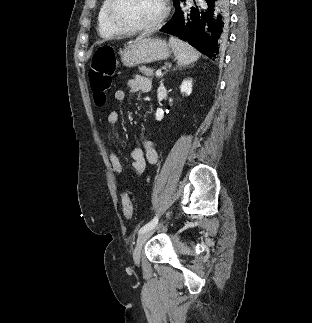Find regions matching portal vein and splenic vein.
<instances>
[{
    "label": "portal vein and splenic vein",
    "mask_w": 312,
    "mask_h": 323,
    "mask_svg": "<svg viewBox=\"0 0 312 323\" xmlns=\"http://www.w3.org/2000/svg\"><path fill=\"white\" fill-rule=\"evenodd\" d=\"M155 74H156L157 78H158V76H159V78H160V76H162L161 70H157V72H155Z\"/></svg>",
    "instance_id": "obj_1"
}]
</instances>
